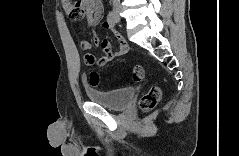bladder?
Returning <instances> with one entry per match:
<instances>
[{
	"instance_id": "31cf9c89",
	"label": "bladder",
	"mask_w": 239,
	"mask_h": 156,
	"mask_svg": "<svg viewBox=\"0 0 239 156\" xmlns=\"http://www.w3.org/2000/svg\"><path fill=\"white\" fill-rule=\"evenodd\" d=\"M89 100L110 110H122L126 108L135 95L132 87L117 88L112 90L86 89Z\"/></svg>"
}]
</instances>
